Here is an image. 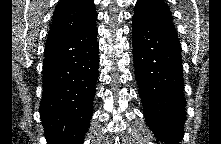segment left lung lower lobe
<instances>
[{
    "label": "left lung lower lobe",
    "mask_w": 221,
    "mask_h": 144,
    "mask_svg": "<svg viewBox=\"0 0 221 144\" xmlns=\"http://www.w3.org/2000/svg\"><path fill=\"white\" fill-rule=\"evenodd\" d=\"M133 58L146 124L158 140L178 144L186 119L181 46L173 28L133 18Z\"/></svg>",
    "instance_id": "1"
}]
</instances>
